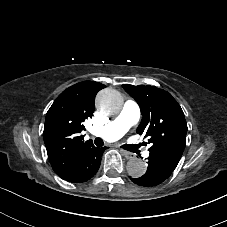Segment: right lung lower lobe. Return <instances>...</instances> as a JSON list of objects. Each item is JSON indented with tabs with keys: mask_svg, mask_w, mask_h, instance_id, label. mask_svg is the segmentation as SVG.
<instances>
[{
	"mask_svg": "<svg viewBox=\"0 0 227 227\" xmlns=\"http://www.w3.org/2000/svg\"><path fill=\"white\" fill-rule=\"evenodd\" d=\"M105 148L92 146L83 152L60 178L69 182H85L93 177L99 169Z\"/></svg>",
	"mask_w": 227,
	"mask_h": 227,
	"instance_id": "1",
	"label": "right lung lower lobe"
}]
</instances>
